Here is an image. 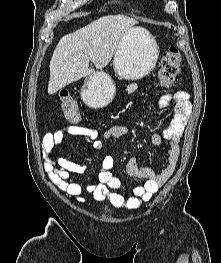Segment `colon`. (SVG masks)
<instances>
[{
  "label": "colon",
  "mask_w": 221,
  "mask_h": 263,
  "mask_svg": "<svg viewBox=\"0 0 221 263\" xmlns=\"http://www.w3.org/2000/svg\"><path fill=\"white\" fill-rule=\"evenodd\" d=\"M180 65L181 56L179 50L176 47L169 48L162 59L160 69V80L164 87H169L173 83L179 72ZM60 100L65 118L72 123L79 122L81 113L73 98L64 94L60 96Z\"/></svg>",
  "instance_id": "obj_1"
}]
</instances>
